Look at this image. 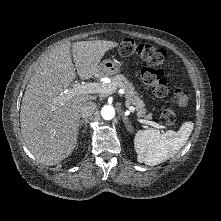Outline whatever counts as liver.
Wrapping results in <instances>:
<instances>
[{"label":"liver","instance_id":"liver-1","mask_svg":"<svg viewBox=\"0 0 221 221\" xmlns=\"http://www.w3.org/2000/svg\"><path fill=\"white\" fill-rule=\"evenodd\" d=\"M117 46L105 40L67 42L50 50L39 63L22 99L20 122L26 146L40 162L56 165L73 152L80 109L97 96L67 98L63 93L77 77L75 70L84 80L96 76L105 53Z\"/></svg>","mask_w":221,"mask_h":221}]
</instances>
